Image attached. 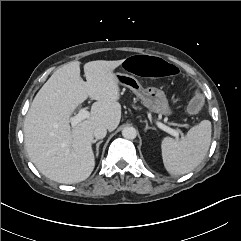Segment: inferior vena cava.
<instances>
[{"instance_id": "602c4592", "label": "inferior vena cava", "mask_w": 241, "mask_h": 241, "mask_svg": "<svg viewBox=\"0 0 241 241\" xmlns=\"http://www.w3.org/2000/svg\"><path fill=\"white\" fill-rule=\"evenodd\" d=\"M107 134V129L104 126H98L94 130V137L96 139H103Z\"/></svg>"}]
</instances>
